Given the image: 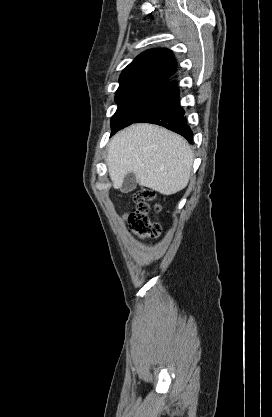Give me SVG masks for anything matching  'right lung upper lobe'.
<instances>
[{"label": "right lung upper lobe", "mask_w": 272, "mask_h": 417, "mask_svg": "<svg viewBox=\"0 0 272 417\" xmlns=\"http://www.w3.org/2000/svg\"><path fill=\"white\" fill-rule=\"evenodd\" d=\"M176 66L170 50H147L123 70L117 93L136 89H163L176 72Z\"/></svg>", "instance_id": "cb5924a9"}]
</instances>
